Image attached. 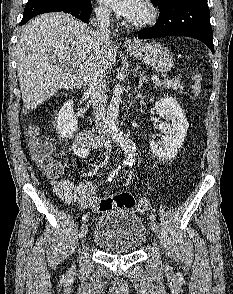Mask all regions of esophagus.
Segmentation results:
<instances>
[{"instance_id": "34e87169", "label": "esophagus", "mask_w": 233, "mask_h": 294, "mask_svg": "<svg viewBox=\"0 0 233 294\" xmlns=\"http://www.w3.org/2000/svg\"><path fill=\"white\" fill-rule=\"evenodd\" d=\"M124 45L126 47H135V46H137L136 42L132 41L131 39H126L124 41Z\"/></svg>"}]
</instances>
